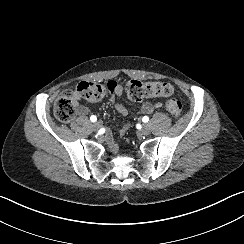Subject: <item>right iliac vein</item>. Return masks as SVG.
Segmentation results:
<instances>
[{
	"label": "right iliac vein",
	"instance_id": "1",
	"mask_svg": "<svg viewBox=\"0 0 244 244\" xmlns=\"http://www.w3.org/2000/svg\"><path fill=\"white\" fill-rule=\"evenodd\" d=\"M100 127H101V123H100V121H95V122L93 123V129H94L95 131H98Z\"/></svg>",
	"mask_w": 244,
	"mask_h": 244
}]
</instances>
